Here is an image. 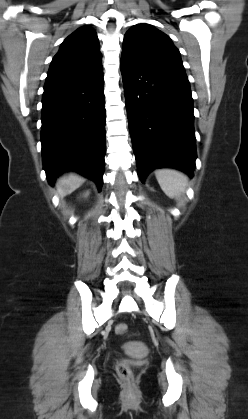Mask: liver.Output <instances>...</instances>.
<instances>
[{
    "instance_id": "obj_1",
    "label": "liver",
    "mask_w": 248,
    "mask_h": 419,
    "mask_svg": "<svg viewBox=\"0 0 248 419\" xmlns=\"http://www.w3.org/2000/svg\"><path fill=\"white\" fill-rule=\"evenodd\" d=\"M85 179L75 173H69L64 175L57 181L56 188L57 193L62 197L67 193L75 190L76 188L80 187Z\"/></svg>"
}]
</instances>
